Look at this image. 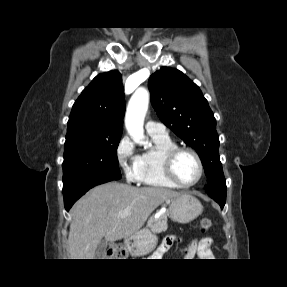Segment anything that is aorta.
<instances>
[{
    "label": "aorta",
    "instance_id": "762f6f07",
    "mask_svg": "<svg viewBox=\"0 0 287 287\" xmlns=\"http://www.w3.org/2000/svg\"><path fill=\"white\" fill-rule=\"evenodd\" d=\"M149 92L138 89L129 100L126 115L125 127L131 138L140 145H147L144 141V119L148 110Z\"/></svg>",
    "mask_w": 287,
    "mask_h": 287
}]
</instances>
